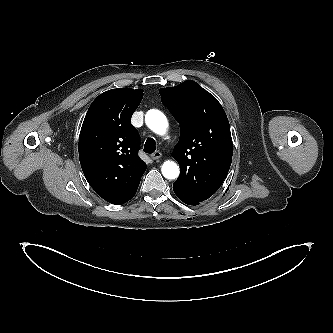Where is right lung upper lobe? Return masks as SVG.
Segmentation results:
<instances>
[{
	"mask_svg": "<svg viewBox=\"0 0 333 333\" xmlns=\"http://www.w3.org/2000/svg\"><path fill=\"white\" fill-rule=\"evenodd\" d=\"M142 98V89L108 90L92 102L82 124L78 151L83 173L112 204L129 201L146 170L138 156V131L131 124Z\"/></svg>",
	"mask_w": 333,
	"mask_h": 333,
	"instance_id": "1",
	"label": "right lung upper lobe"
}]
</instances>
